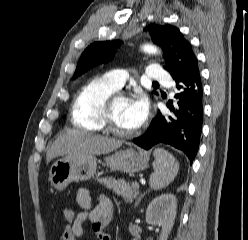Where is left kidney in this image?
<instances>
[{
    "mask_svg": "<svg viewBox=\"0 0 248 240\" xmlns=\"http://www.w3.org/2000/svg\"><path fill=\"white\" fill-rule=\"evenodd\" d=\"M177 199L173 194L156 197L146 210V222L162 227L159 240H167L176 218Z\"/></svg>",
    "mask_w": 248,
    "mask_h": 240,
    "instance_id": "1",
    "label": "left kidney"
}]
</instances>
